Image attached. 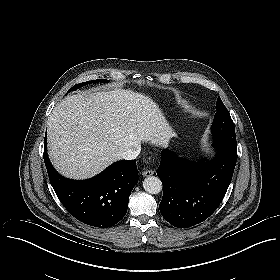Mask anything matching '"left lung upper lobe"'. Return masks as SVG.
I'll return each instance as SVG.
<instances>
[{"mask_svg": "<svg viewBox=\"0 0 280 280\" xmlns=\"http://www.w3.org/2000/svg\"><path fill=\"white\" fill-rule=\"evenodd\" d=\"M216 110L211 126L213 139L216 141L237 143L233 121L220 97L217 99Z\"/></svg>", "mask_w": 280, "mask_h": 280, "instance_id": "5c2ea615", "label": "left lung upper lobe"}]
</instances>
